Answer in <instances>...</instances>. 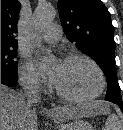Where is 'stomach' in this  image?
I'll return each mask as SVG.
<instances>
[{
  "label": "stomach",
  "mask_w": 123,
  "mask_h": 130,
  "mask_svg": "<svg viewBox=\"0 0 123 130\" xmlns=\"http://www.w3.org/2000/svg\"><path fill=\"white\" fill-rule=\"evenodd\" d=\"M59 130H94L93 126L82 119H75L69 123L57 122Z\"/></svg>",
  "instance_id": "0dacf381"
}]
</instances>
